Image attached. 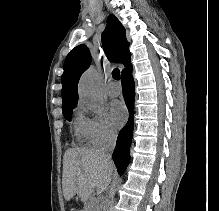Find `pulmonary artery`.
<instances>
[{"label":"pulmonary artery","instance_id":"obj_1","mask_svg":"<svg viewBox=\"0 0 219 211\" xmlns=\"http://www.w3.org/2000/svg\"><path fill=\"white\" fill-rule=\"evenodd\" d=\"M109 96H118L122 92V86L119 82L112 81L106 87Z\"/></svg>","mask_w":219,"mask_h":211}]
</instances>
